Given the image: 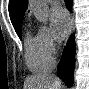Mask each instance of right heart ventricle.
I'll use <instances>...</instances> for the list:
<instances>
[{
  "mask_svg": "<svg viewBox=\"0 0 89 89\" xmlns=\"http://www.w3.org/2000/svg\"><path fill=\"white\" fill-rule=\"evenodd\" d=\"M25 60L29 70L34 73L48 72L53 65L52 59L42 53L37 36L31 34H27L25 39Z\"/></svg>",
  "mask_w": 89,
  "mask_h": 89,
  "instance_id": "obj_1",
  "label": "right heart ventricle"
}]
</instances>
